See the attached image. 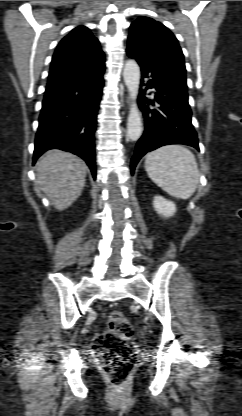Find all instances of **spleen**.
<instances>
[{
    "mask_svg": "<svg viewBox=\"0 0 242 416\" xmlns=\"http://www.w3.org/2000/svg\"><path fill=\"white\" fill-rule=\"evenodd\" d=\"M150 179L176 198L188 199L199 181L194 154L181 145H167L150 152L145 160Z\"/></svg>",
    "mask_w": 242,
    "mask_h": 416,
    "instance_id": "spleen-1",
    "label": "spleen"
}]
</instances>
